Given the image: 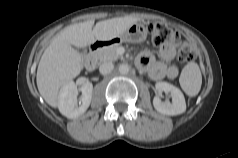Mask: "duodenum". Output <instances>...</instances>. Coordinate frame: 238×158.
<instances>
[{
  "instance_id": "duodenum-1",
  "label": "duodenum",
  "mask_w": 238,
  "mask_h": 158,
  "mask_svg": "<svg viewBox=\"0 0 238 158\" xmlns=\"http://www.w3.org/2000/svg\"><path fill=\"white\" fill-rule=\"evenodd\" d=\"M111 42L109 41H95L94 43H92L89 47V53L86 59V68L89 71H92L95 69L96 67V63H97V52L107 46L110 45Z\"/></svg>"
}]
</instances>
